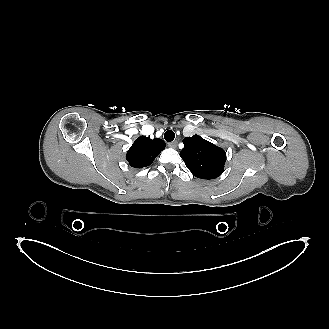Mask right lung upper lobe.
Wrapping results in <instances>:
<instances>
[{
  "label": "right lung upper lobe",
  "mask_w": 329,
  "mask_h": 329,
  "mask_svg": "<svg viewBox=\"0 0 329 329\" xmlns=\"http://www.w3.org/2000/svg\"><path fill=\"white\" fill-rule=\"evenodd\" d=\"M164 148L162 139L140 136L128 150L126 159L132 167L143 168L150 165Z\"/></svg>",
  "instance_id": "right-lung-upper-lobe-1"
}]
</instances>
